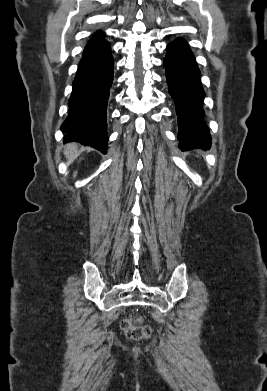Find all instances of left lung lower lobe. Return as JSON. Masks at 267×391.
<instances>
[{
    "instance_id": "0a47b994",
    "label": "left lung lower lobe",
    "mask_w": 267,
    "mask_h": 391,
    "mask_svg": "<svg viewBox=\"0 0 267 391\" xmlns=\"http://www.w3.org/2000/svg\"><path fill=\"white\" fill-rule=\"evenodd\" d=\"M164 65L169 94L174 99L178 115L180 149H209L211 137L203 121L205 94L200 71L184 39H176L167 46Z\"/></svg>"
}]
</instances>
